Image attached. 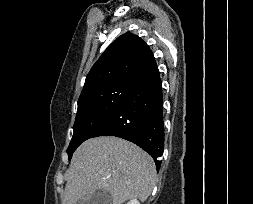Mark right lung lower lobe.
<instances>
[{"label": "right lung lower lobe", "instance_id": "right-lung-lower-lobe-1", "mask_svg": "<svg viewBox=\"0 0 253 204\" xmlns=\"http://www.w3.org/2000/svg\"><path fill=\"white\" fill-rule=\"evenodd\" d=\"M111 135L131 141L155 160L164 149L163 96L157 65L141 77L130 93L95 132L93 137Z\"/></svg>", "mask_w": 253, "mask_h": 204}]
</instances>
